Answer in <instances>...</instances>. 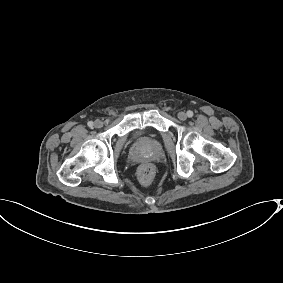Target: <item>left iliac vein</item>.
Segmentation results:
<instances>
[{
  "label": "left iliac vein",
  "mask_w": 283,
  "mask_h": 283,
  "mask_svg": "<svg viewBox=\"0 0 283 283\" xmlns=\"http://www.w3.org/2000/svg\"><path fill=\"white\" fill-rule=\"evenodd\" d=\"M177 116L181 121H185L187 119V114L184 112H179Z\"/></svg>",
  "instance_id": "1"
}]
</instances>
